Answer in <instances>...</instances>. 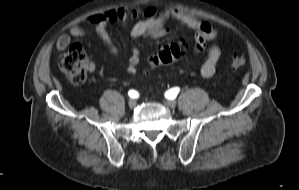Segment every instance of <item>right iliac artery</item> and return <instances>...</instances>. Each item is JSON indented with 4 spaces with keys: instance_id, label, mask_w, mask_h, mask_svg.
<instances>
[{
    "instance_id": "1",
    "label": "right iliac artery",
    "mask_w": 299,
    "mask_h": 190,
    "mask_svg": "<svg viewBox=\"0 0 299 190\" xmlns=\"http://www.w3.org/2000/svg\"><path fill=\"white\" fill-rule=\"evenodd\" d=\"M128 95H129L131 98H138V97H139L138 92L135 91V90H130V91L128 92Z\"/></svg>"
}]
</instances>
